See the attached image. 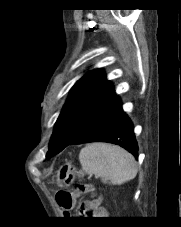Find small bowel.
<instances>
[{
    "label": "small bowel",
    "instance_id": "obj_1",
    "mask_svg": "<svg viewBox=\"0 0 181 227\" xmlns=\"http://www.w3.org/2000/svg\"><path fill=\"white\" fill-rule=\"evenodd\" d=\"M101 204L102 197L91 199L81 206L79 213L86 214L87 212H91L95 217H104L107 215V212Z\"/></svg>",
    "mask_w": 181,
    "mask_h": 227
}]
</instances>
